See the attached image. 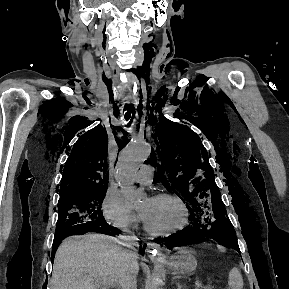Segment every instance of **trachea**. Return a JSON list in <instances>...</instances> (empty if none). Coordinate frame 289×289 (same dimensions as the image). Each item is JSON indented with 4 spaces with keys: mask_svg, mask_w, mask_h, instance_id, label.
Instances as JSON below:
<instances>
[{
    "mask_svg": "<svg viewBox=\"0 0 289 289\" xmlns=\"http://www.w3.org/2000/svg\"><path fill=\"white\" fill-rule=\"evenodd\" d=\"M134 117V109L131 108V109H127V112L125 113V119L126 121L130 120V122H132V116Z\"/></svg>",
    "mask_w": 289,
    "mask_h": 289,
    "instance_id": "1",
    "label": "trachea"
}]
</instances>
